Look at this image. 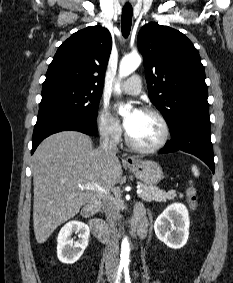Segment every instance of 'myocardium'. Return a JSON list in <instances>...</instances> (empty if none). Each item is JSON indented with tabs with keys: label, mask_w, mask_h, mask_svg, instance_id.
<instances>
[{
	"label": "myocardium",
	"mask_w": 233,
	"mask_h": 283,
	"mask_svg": "<svg viewBox=\"0 0 233 283\" xmlns=\"http://www.w3.org/2000/svg\"><path fill=\"white\" fill-rule=\"evenodd\" d=\"M142 112L152 114L160 121L163 129V133L160 141L152 146H144L135 142L128 133V131H126V142L131 148H133L136 151L142 153H154L161 150L167 144L170 137V127L164 115L157 109L151 107H145L142 109Z\"/></svg>",
	"instance_id": "myocardium-1"
}]
</instances>
